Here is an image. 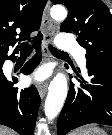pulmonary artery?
Segmentation results:
<instances>
[{"label":"pulmonary artery","instance_id":"1","mask_svg":"<svg viewBox=\"0 0 112 135\" xmlns=\"http://www.w3.org/2000/svg\"><path fill=\"white\" fill-rule=\"evenodd\" d=\"M57 46L59 49L65 52H71L75 56L76 60L85 69L86 58L85 53L81 50L77 42L70 35L61 33L57 37Z\"/></svg>","mask_w":112,"mask_h":135}]
</instances>
